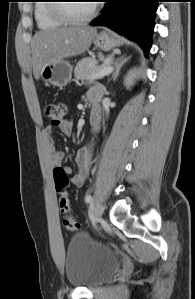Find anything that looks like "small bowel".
<instances>
[{
    "instance_id": "c3829d8e",
    "label": "small bowel",
    "mask_w": 195,
    "mask_h": 299,
    "mask_svg": "<svg viewBox=\"0 0 195 299\" xmlns=\"http://www.w3.org/2000/svg\"><path fill=\"white\" fill-rule=\"evenodd\" d=\"M88 99L91 102H96L100 96V91L98 88H92L89 90ZM92 123H96V119H92ZM60 131L66 135H69L72 133L73 129V123L71 120H63L58 125ZM43 139L47 146L50 160L53 166H60L61 163L64 160L65 154L58 150L55 146L54 139H53V126L48 125L43 130ZM91 159H92V150L90 146H84L79 148L75 153V163L77 165L78 171L75 174H72V168L71 167H64L63 169L68 174H72L71 182L76 187H81L85 179L89 173V170L91 168Z\"/></svg>"
}]
</instances>
